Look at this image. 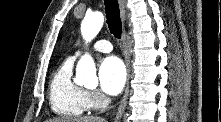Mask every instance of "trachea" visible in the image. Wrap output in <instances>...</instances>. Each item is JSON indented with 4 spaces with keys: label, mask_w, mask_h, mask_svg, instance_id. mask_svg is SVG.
Instances as JSON below:
<instances>
[{
    "label": "trachea",
    "mask_w": 221,
    "mask_h": 122,
    "mask_svg": "<svg viewBox=\"0 0 221 122\" xmlns=\"http://www.w3.org/2000/svg\"><path fill=\"white\" fill-rule=\"evenodd\" d=\"M107 24L110 32L116 37L121 38L122 23L120 18L119 4L117 0H104Z\"/></svg>",
    "instance_id": "obj_1"
}]
</instances>
